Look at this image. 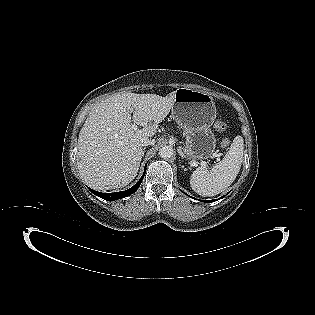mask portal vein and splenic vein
<instances>
[{"mask_svg": "<svg viewBox=\"0 0 315 315\" xmlns=\"http://www.w3.org/2000/svg\"><path fill=\"white\" fill-rule=\"evenodd\" d=\"M132 128L136 130L138 127H137L136 124H133V125H132Z\"/></svg>", "mask_w": 315, "mask_h": 315, "instance_id": "portal-vein-and-splenic-vein-1", "label": "portal vein and splenic vein"}]
</instances>
